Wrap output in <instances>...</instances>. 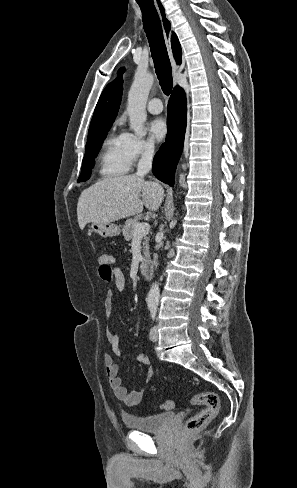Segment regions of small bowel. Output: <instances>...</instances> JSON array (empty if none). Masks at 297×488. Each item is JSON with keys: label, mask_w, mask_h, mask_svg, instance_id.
<instances>
[{"label": "small bowel", "mask_w": 297, "mask_h": 488, "mask_svg": "<svg viewBox=\"0 0 297 488\" xmlns=\"http://www.w3.org/2000/svg\"><path fill=\"white\" fill-rule=\"evenodd\" d=\"M110 258H111L110 279L106 281L105 278L102 277L99 273L100 279L105 283H112L116 291H123L126 287L124 274L119 268L111 266V264L114 263L115 258L113 255H110ZM113 300H114V293L113 291H109L107 293L106 300H105V310L107 315H110L111 313ZM108 341L112 347L113 354L106 353L104 355L103 360L105 366V373L109 380V385L113 390L115 396L119 400L123 401L126 405L129 406L137 405L141 402L146 386L155 374V369L152 366H150L151 361L146 354L144 353L139 354L135 358V361L141 365L149 366V369L146 373V379L144 385L139 390L129 392L127 388L123 385L122 379L119 377V366L114 359V356H120L121 354L119 349V338L114 332L111 331L108 334Z\"/></svg>", "instance_id": "1"}]
</instances>
